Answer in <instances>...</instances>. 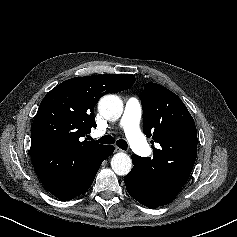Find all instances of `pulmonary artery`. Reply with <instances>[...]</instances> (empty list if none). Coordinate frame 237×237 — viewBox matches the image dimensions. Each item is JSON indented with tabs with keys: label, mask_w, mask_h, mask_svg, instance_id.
Here are the masks:
<instances>
[{
	"label": "pulmonary artery",
	"mask_w": 237,
	"mask_h": 237,
	"mask_svg": "<svg viewBox=\"0 0 237 237\" xmlns=\"http://www.w3.org/2000/svg\"><path fill=\"white\" fill-rule=\"evenodd\" d=\"M141 117L142 107L139 100L130 97L126 101L120 124L134 152L140 156H147L150 153V146L144 141L140 132Z\"/></svg>",
	"instance_id": "e3ab8cb5"
}]
</instances>
